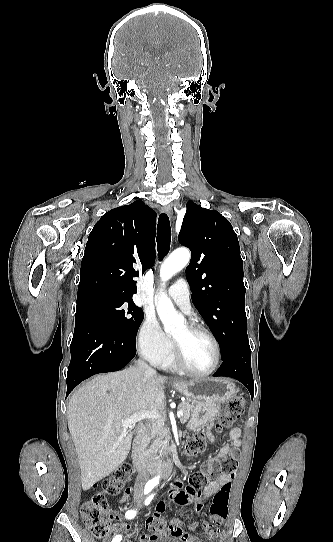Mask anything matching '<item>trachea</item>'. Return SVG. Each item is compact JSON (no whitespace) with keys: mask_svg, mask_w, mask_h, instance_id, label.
<instances>
[{"mask_svg":"<svg viewBox=\"0 0 333 542\" xmlns=\"http://www.w3.org/2000/svg\"><path fill=\"white\" fill-rule=\"evenodd\" d=\"M171 227L168 215L161 213L157 225L158 256L163 258L170 250Z\"/></svg>","mask_w":333,"mask_h":542,"instance_id":"trachea-1","label":"trachea"}]
</instances>
